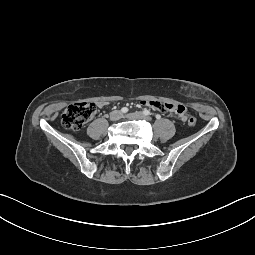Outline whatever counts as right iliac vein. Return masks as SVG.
<instances>
[{"label":"right iliac vein","instance_id":"obj_1","mask_svg":"<svg viewBox=\"0 0 255 255\" xmlns=\"http://www.w3.org/2000/svg\"><path fill=\"white\" fill-rule=\"evenodd\" d=\"M121 118H122V112L119 110H115L110 113V120L112 121H118Z\"/></svg>","mask_w":255,"mask_h":255}]
</instances>
